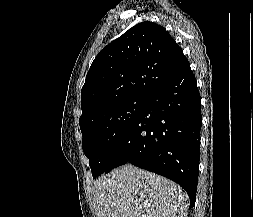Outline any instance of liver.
Masks as SVG:
<instances>
[{
    "label": "liver",
    "instance_id": "liver-1",
    "mask_svg": "<svg viewBox=\"0 0 253 217\" xmlns=\"http://www.w3.org/2000/svg\"><path fill=\"white\" fill-rule=\"evenodd\" d=\"M189 198L174 182L125 164L93 187L96 217H187Z\"/></svg>",
    "mask_w": 253,
    "mask_h": 217
}]
</instances>
